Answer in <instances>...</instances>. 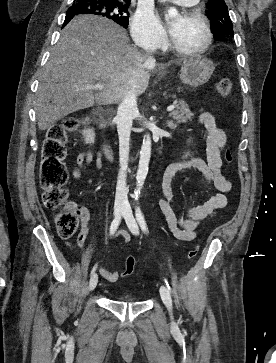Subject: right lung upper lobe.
Here are the masks:
<instances>
[{
	"label": "right lung upper lobe",
	"instance_id": "right-lung-upper-lobe-1",
	"mask_svg": "<svg viewBox=\"0 0 276 363\" xmlns=\"http://www.w3.org/2000/svg\"><path fill=\"white\" fill-rule=\"evenodd\" d=\"M108 1H115V2L129 3L131 0H108Z\"/></svg>",
	"mask_w": 276,
	"mask_h": 363
}]
</instances>
